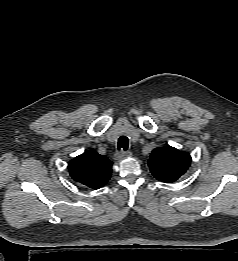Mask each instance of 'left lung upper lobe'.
<instances>
[{
	"label": "left lung upper lobe",
	"instance_id": "5c2ea615",
	"mask_svg": "<svg viewBox=\"0 0 238 261\" xmlns=\"http://www.w3.org/2000/svg\"><path fill=\"white\" fill-rule=\"evenodd\" d=\"M191 164L190 154L171 146L152 151L148 166L159 181L171 183L183 175Z\"/></svg>",
	"mask_w": 238,
	"mask_h": 261
}]
</instances>
